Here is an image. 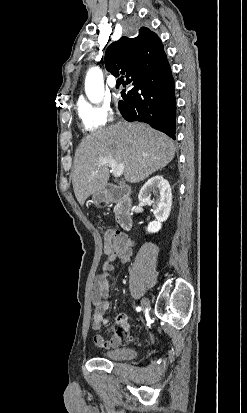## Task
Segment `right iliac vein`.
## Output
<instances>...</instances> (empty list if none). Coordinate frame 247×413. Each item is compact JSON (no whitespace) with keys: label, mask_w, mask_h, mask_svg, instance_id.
I'll list each match as a JSON object with an SVG mask.
<instances>
[{"label":"right iliac vein","mask_w":247,"mask_h":413,"mask_svg":"<svg viewBox=\"0 0 247 413\" xmlns=\"http://www.w3.org/2000/svg\"><path fill=\"white\" fill-rule=\"evenodd\" d=\"M141 305L143 306L144 309L149 308V306H150L149 300L147 298H143L141 300Z\"/></svg>","instance_id":"right-iliac-vein-1"}]
</instances>
